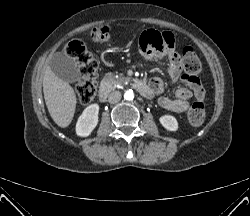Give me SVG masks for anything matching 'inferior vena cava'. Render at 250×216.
Returning a JSON list of instances; mask_svg holds the SVG:
<instances>
[{
    "mask_svg": "<svg viewBox=\"0 0 250 216\" xmlns=\"http://www.w3.org/2000/svg\"><path fill=\"white\" fill-rule=\"evenodd\" d=\"M121 93L119 91H113L109 94L108 101L109 103H117L121 100Z\"/></svg>",
    "mask_w": 250,
    "mask_h": 216,
    "instance_id": "1",
    "label": "inferior vena cava"
}]
</instances>
